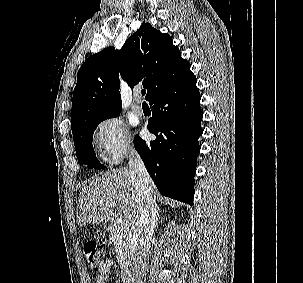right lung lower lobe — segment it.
I'll use <instances>...</instances> for the list:
<instances>
[{
    "mask_svg": "<svg viewBox=\"0 0 303 283\" xmlns=\"http://www.w3.org/2000/svg\"><path fill=\"white\" fill-rule=\"evenodd\" d=\"M190 73L183 81L149 101L152 118L148 129L156 136L144 141L136 136L134 146L160 193L192 205L194 175L202 135L200 94Z\"/></svg>",
    "mask_w": 303,
    "mask_h": 283,
    "instance_id": "obj_1",
    "label": "right lung lower lobe"
}]
</instances>
